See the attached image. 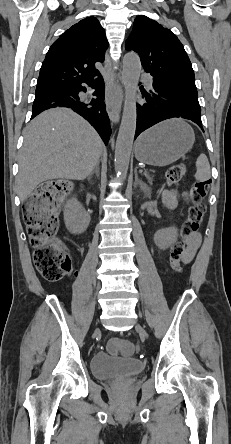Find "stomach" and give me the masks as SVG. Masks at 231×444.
<instances>
[{
  "instance_id": "1",
  "label": "stomach",
  "mask_w": 231,
  "mask_h": 444,
  "mask_svg": "<svg viewBox=\"0 0 231 444\" xmlns=\"http://www.w3.org/2000/svg\"><path fill=\"white\" fill-rule=\"evenodd\" d=\"M194 141L195 134L190 125L182 119H169L138 138L135 157L152 166H167L184 156Z\"/></svg>"
}]
</instances>
